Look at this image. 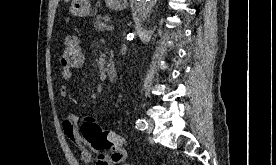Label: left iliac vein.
Here are the masks:
<instances>
[{
  "label": "left iliac vein",
  "instance_id": "obj_1",
  "mask_svg": "<svg viewBox=\"0 0 276 165\" xmlns=\"http://www.w3.org/2000/svg\"><path fill=\"white\" fill-rule=\"evenodd\" d=\"M153 128H154V122H153V120H148V127H147V132L150 134L151 132H152V130H153Z\"/></svg>",
  "mask_w": 276,
  "mask_h": 165
}]
</instances>
